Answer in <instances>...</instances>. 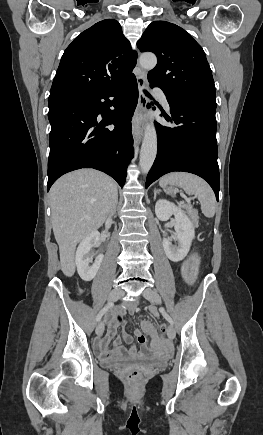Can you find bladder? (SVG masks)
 <instances>
[{"label": "bladder", "instance_id": "1", "mask_svg": "<svg viewBox=\"0 0 263 435\" xmlns=\"http://www.w3.org/2000/svg\"><path fill=\"white\" fill-rule=\"evenodd\" d=\"M124 362H126V361L125 360H107L106 364L108 366L114 367V366H118ZM139 362L143 363V364H147V365H161V364L165 363V360L159 359V358H145V359H140Z\"/></svg>", "mask_w": 263, "mask_h": 435}]
</instances>
